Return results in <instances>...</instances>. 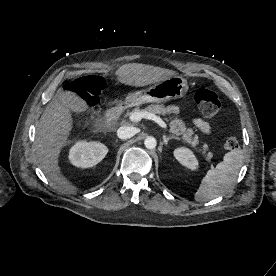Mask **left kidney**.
<instances>
[{"mask_svg":"<svg viewBox=\"0 0 276 276\" xmlns=\"http://www.w3.org/2000/svg\"><path fill=\"white\" fill-rule=\"evenodd\" d=\"M175 158L185 167L195 170L198 168V160L188 148H177L174 150Z\"/></svg>","mask_w":276,"mask_h":276,"instance_id":"1","label":"left kidney"}]
</instances>
